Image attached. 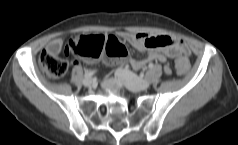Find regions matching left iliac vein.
Returning <instances> with one entry per match:
<instances>
[{"label": "left iliac vein", "mask_w": 238, "mask_h": 145, "mask_svg": "<svg viewBox=\"0 0 238 145\" xmlns=\"http://www.w3.org/2000/svg\"><path fill=\"white\" fill-rule=\"evenodd\" d=\"M115 74L121 83L133 92L146 90L150 86V82L148 80L140 79L128 70L117 69Z\"/></svg>", "instance_id": "obj_1"}]
</instances>
